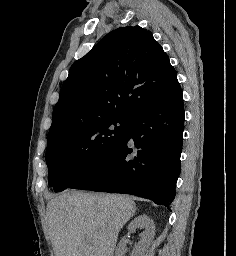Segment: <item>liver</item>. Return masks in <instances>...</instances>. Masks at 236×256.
<instances>
[{
	"label": "liver",
	"mask_w": 236,
	"mask_h": 256,
	"mask_svg": "<svg viewBox=\"0 0 236 256\" xmlns=\"http://www.w3.org/2000/svg\"><path fill=\"white\" fill-rule=\"evenodd\" d=\"M128 196L62 192L46 206L55 256H114L118 234L134 216Z\"/></svg>",
	"instance_id": "1"
}]
</instances>
